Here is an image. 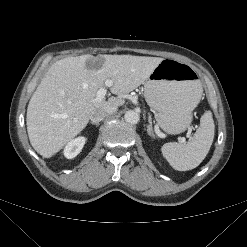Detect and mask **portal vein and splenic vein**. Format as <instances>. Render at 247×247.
<instances>
[{
    "instance_id": "1",
    "label": "portal vein and splenic vein",
    "mask_w": 247,
    "mask_h": 247,
    "mask_svg": "<svg viewBox=\"0 0 247 247\" xmlns=\"http://www.w3.org/2000/svg\"><path fill=\"white\" fill-rule=\"evenodd\" d=\"M111 85H112V81L107 80L105 82V86H103V87L98 89V91H97V99H101V98L105 97V95L107 94V87H110ZM180 142L181 143H185V138L182 137L180 139Z\"/></svg>"
}]
</instances>
